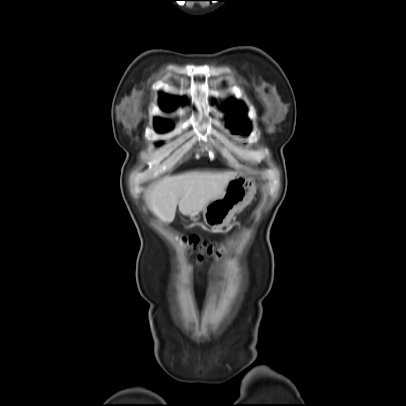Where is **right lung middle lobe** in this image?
Masks as SVG:
<instances>
[{"mask_svg":"<svg viewBox=\"0 0 406 406\" xmlns=\"http://www.w3.org/2000/svg\"><path fill=\"white\" fill-rule=\"evenodd\" d=\"M169 127H170V124H167V123L156 124L157 130L160 131V132L166 131L167 129H169Z\"/></svg>","mask_w":406,"mask_h":406,"instance_id":"obj_1","label":"right lung middle lobe"}]
</instances>
